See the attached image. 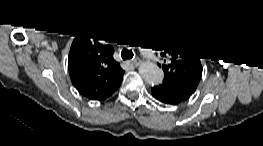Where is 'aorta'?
Returning <instances> with one entry per match:
<instances>
[{
	"instance_id": "762f6f07",
	"label": "aorta",
	"mask_w": 263,
	"mask_h": 146,
	"mask_svg": "<svg viewBox=\"0 0 263 146\" xmlns=\"http://www.w3.org/2000/svg\"><path fill=\"white\" fill-rule=\"evenodd\" d=\"M139 73L145 82L148 84L156 85L161 83L163 79V73L159 67L153 62H143L139 66Z\"/></svg>"
}]
</instances>
